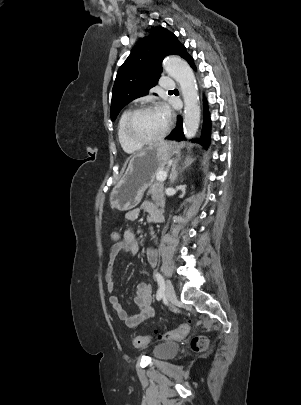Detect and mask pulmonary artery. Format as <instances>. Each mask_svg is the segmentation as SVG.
Wrapping results in <instances>:
<instances>
[{
  "mask_svg": "<svg viewBox=\"0 0 301 405\" xmlns=\"http://www.w3.org/2000/svg\"><path fill=\"white\" fill-rule=\"evenodd\" d=\"M161 86H162L164 89L172 90V89H174V87H175V83H174V81H173L170 77H163V78L161 79Z\"/></svg>",
  "mask_w": 301,
  "mask_h": 405,
  "instance_id": "1",
  "label": "pulmonary artery"
}]
</instances>
